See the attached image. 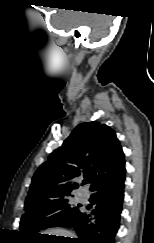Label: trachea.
<instances>
[{
	"instance_id": "3493384b",
	"label": "trachea",
	"mask_w": 154,
	"mask_h": 243,
	"mask_svg": "<svg viewBox=\"0 0 154 243\" xmlns=\"http://www.w3.org/2000/svg\"><path fill=\"white\" fill-rule=\"evenodd\" d=\"M84 182L87 183L88 182V179H85Z\"/></svg>"
}]
</instances>
